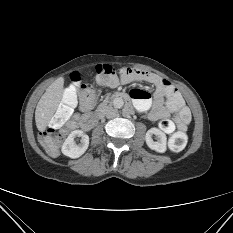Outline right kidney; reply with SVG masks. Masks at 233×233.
<instances>
[{"label": "right kidney", "mask_w": 233, "mask_h": 233, "mask_svg": "<svg viewBox=\"0 0 233 233\" xmlns=\"http://www.w3.org/2000/svg\"><path fill=\"white\" fill-rule=\"evenodd\" d=\"M76 137H81V141L79 144L75 143L74 139ZM88 146L89 136L86 135L82 130H74L65 139L61 151L65 156H68L70 158H78L84 154Z\"/></svg>", "instance_id": "right-kidney-1"}]
</instances>
